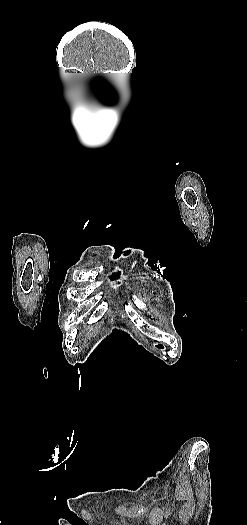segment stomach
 <instances>
[{"label":"stomach","mask_w":247,"mask_h":525,"mask_svg":"<svg viewBox=\"0 0 247 525\" xmlns=\"http://www.w3.org/2000/svg\"><path fill=\"white\" fill-rule=\"evenodd\" d=\"M157 348H163V346L162 345H158Z\"/></svg>","instance_id":"stomach-1"}]
</instances>
